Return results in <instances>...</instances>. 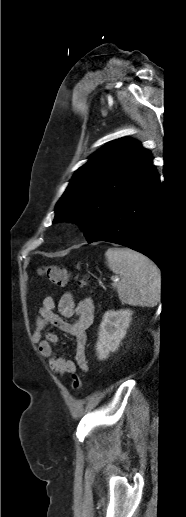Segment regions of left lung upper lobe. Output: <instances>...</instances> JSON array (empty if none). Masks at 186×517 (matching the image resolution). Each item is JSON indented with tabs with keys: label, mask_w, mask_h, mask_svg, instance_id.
Returning a JSON list of instances; mask_svg holds the SVG:
<instances>
[{
	"label": "left lung upper lobe",
	"mask_w": 186,
	"mask_h": 517,
	"mask_svg": "<svg viewBox=\"0 0 186 517\" xmlns=\"http://www.w3.org/2000/svg\"><path fill=\"white\" fill-rule=\"evenodd\" d=\"M152 159L133 139L107 144L75 172L56 205L53 222H76L90 242L105 215L150 167Z\"/></svg>",
	"instance_id": "left-lung-upper-lobe-1"
}]
</instances>
